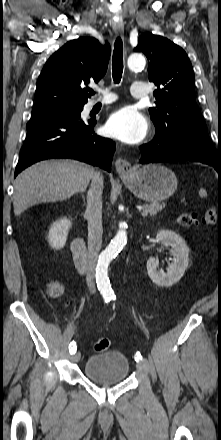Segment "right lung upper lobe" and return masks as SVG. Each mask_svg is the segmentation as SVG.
<instances>
[{
    "label": "right lung upper lobe",
    "instance_id": "1",
    "mask_svg": "<svg viewBox=\"0 0 221 440\" xmlns=\"http://www.w3.org/2000/svg\"><path fill=\"white\" fill-rule=\"evenodd\" d=\"M110 46L93 37L67 42L46 62L37 81L32 111L77 107L87 103L89 82L97 83L106 73Z\"/></svg>",
    "mask_w": 221,
    "mask_h": 440
}]
</instances>
